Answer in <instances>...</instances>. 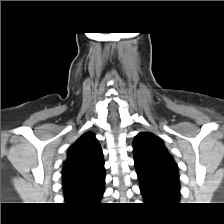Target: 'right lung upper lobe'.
Segmentation results:
<instances>
[{
	"label": "right lung upper lobe",
	"instance_id": "cb5924a9",
	"mask_svg": "<svg viewBox=\"0 0 224 224\" xmlns=\"http://www.w3.org/2000/svg\"><path fill=\"white\" fill-rule=\"evenodd\" d=\"M62 177L68 202H94L93 198L103 191L104 158L94 133H84L70 147Z\"/></svg>",
	"mask_w": 224,
	"mask_h": 224
}]
</instances>
